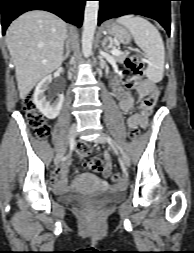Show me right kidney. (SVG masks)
Returning a JSON list of instances; mask_svg holds the SVG:
<instances>
[{"label":"right kidney","instance_id":"1","mask_svg":"<svg viewBox=\"0 0 194 253\" xmlns=\"http://www.w3.org/2000/svg\"><path fill=\"white\" fill-rule=\"evenodd\" d=\"M52 81V77L46 76L43 78L35 88L34 92V104L37 109L48 119H55L62 108L64 102V96L58 95L56 99L47 98L45 91Z\"/></svg>","mask_w":194,"mask_h":253}]
</instances>
